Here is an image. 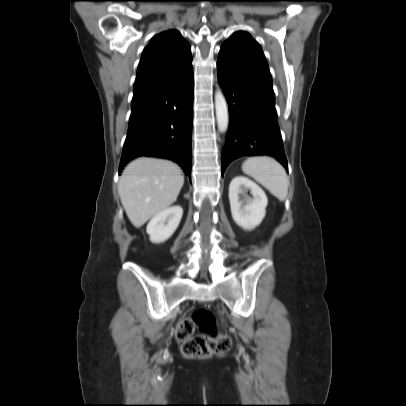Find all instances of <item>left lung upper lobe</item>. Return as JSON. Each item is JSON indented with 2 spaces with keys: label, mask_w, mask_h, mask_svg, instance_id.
Instances as JSON below:
<instances>
[{
  "label": "left lung upper lobe",
  "mask_w": 406,
  "mask_h": 406,
  "mask_svg": "<svg viewBox=\"0 0 406 406\" xmlns=\"http://www.w3.org/2000/svg\"><path fill=\"white\" fill-rule=\"evenodd\" d=\"M219 55L230 57L271 78L260 45L246 32H236L221 47Z\"/></svg>",
  "instance_id": "5c2ea615"
}]
</instances>
